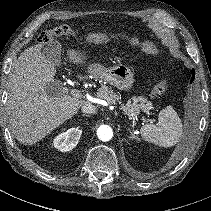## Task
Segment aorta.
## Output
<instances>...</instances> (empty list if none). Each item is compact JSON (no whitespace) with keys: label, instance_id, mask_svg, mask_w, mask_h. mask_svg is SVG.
Here are the masks:
<instances>
[{"label":"aorta","instance_id":"762f6f07","mask_svg":"<svg viewBox=\"0 0 211 211\" xmlns=\"http://www.w3.org/2000/svg\"><path fill=\"white\" fill-rule=\"evenodd\" d=\"M97 136L101 141H109L113 137V130L108 125H101L97 129Z\"/></svg>","mask_w":211,"mask_h":211}]
</instances>
